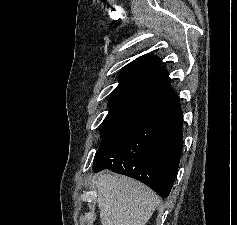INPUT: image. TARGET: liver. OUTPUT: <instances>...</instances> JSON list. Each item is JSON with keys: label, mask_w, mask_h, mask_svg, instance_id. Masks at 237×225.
Returning a JSON list of instances; mask_svg holds the SVG:
<instances>
[{"label": "liver", "mask_w": 237, "mask_h": 225, "mask_svg": "<svg viewBox=\"0 0 237 225\" xmlns=\"http://www.w3.org/2000/svg\"><path fill=\"white\" fill-rule=\"evenodd\" d=\"M96 187L102 225H145L159 204L153 190L129 177L100 174Z\"/></svg>", "instance_id": "1"}]
</instances>
